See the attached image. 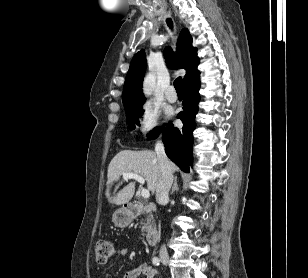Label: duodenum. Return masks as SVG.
Instances as JSON below:
<instances>
[{
    "label": "duodenum",
    "mask_w": 308,
    "mask_h": 278,
    "mask_svg": "<svg viewBox=\"0 0 308 278\" xmlns=\"http://www.w3.org/2000/svg\"><path fill=\"white\" fill-rule=\"evenodd\" d=\"M155 207L151 204L142 205L134 202L127 203L124 207V212L127 218L133 219L138 216L141 212H153ZM159 239V231L156 228H152L149 230L147 234V242L150 245H154L157 243Z\"/></svg>",
    "instance_id": "410a0bca"
}]
</instances>
